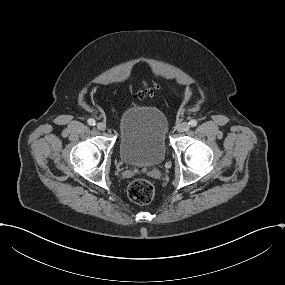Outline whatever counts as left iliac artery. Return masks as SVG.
<instances>
[{
	"label": "left iliac artery",
	"instance_id": "obj_1",
	"mask_svg": "<svg viewBox=\"0 0 285 285\" xmlns=\"http://www.w3.org/2000/svg\"><path fill=\"white\" fill-rule=\"evenodd\" d=\"M188 124H189L191 127H195V126L197 125V121L194 120V119H192V120L189 121Z\"/></svg>",
	"mask_w": 285,
	"mask_h": 285
}]
</instances>
